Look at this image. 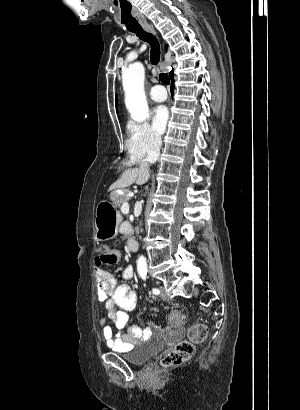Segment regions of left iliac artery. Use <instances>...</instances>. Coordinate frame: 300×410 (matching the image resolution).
Instances as JSON below:
<instances>
[{
	"instance_id": "obj_1",
	"label": "left iliac artery",
	"mask_w": 300,
	"mask_h": 410,
	"mask_svg": "<svg viewBox=\"0 0 300 410\" xmlns=\"http://www.w3.org/2000/svg\"><path fill=\"white\" fill-rule=\"evenodd\" d=\"M140 276H141V278H142L143 280H146V279H147V272H142V273H140ZM152 292H153V294H155V295H158V294L160 293L159 289H157V288H153V289H152Z\"/></svg>"
}]
</instances>
